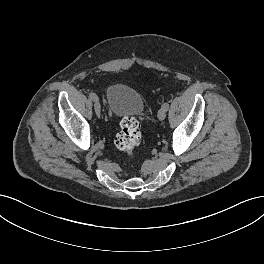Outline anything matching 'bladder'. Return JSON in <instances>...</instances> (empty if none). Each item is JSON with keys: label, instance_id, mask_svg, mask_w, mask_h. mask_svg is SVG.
<instances>
[{"label": "bladder", "instance_id": "bladder-1", "mask_svg": "<svg viewBox=\"0 0 264 264\" xmlns=\"http://www.w3.org/2000/svg\"><path fill=\"white\" fill-rule=\"evenodd\" d=\"M106 100L111 112L119 117L139 115L144 110V100L140 93L126 84H110L107 87Z\"/></svg>", "mask_w": 264, "mask_h": 264}]
</instances>
